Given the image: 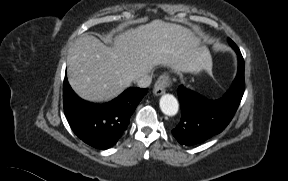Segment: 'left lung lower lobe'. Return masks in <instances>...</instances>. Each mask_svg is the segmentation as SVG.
<instances>
[{
    "mask_svg": "<svg viewBox=\"0 0 288 181\" xmlns=\"http://www.w3.org/2000/svg\"><path fill=\"white\" fill-rule=\"evenodd\" d=\"M230 45L236 51L239 61L243 60L235 43L231 41ZM244 89V71L237 74L231 88L218 100H206L180 85L178 97L182 115L180 123L172 130L173 136L180 144L192 146L219 134L232 120Z\"/></svg>",
    "mask_w": 288,
    "mask_h": 181,
    "instance_id": "left-lung-lower-lobe-1",
    "label": "left lung lower lobe"
}]
</instances>
